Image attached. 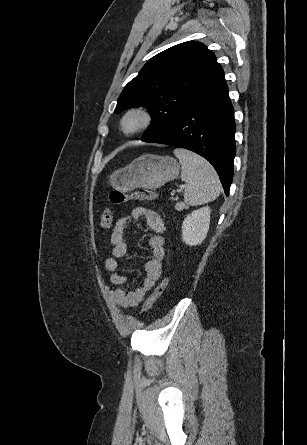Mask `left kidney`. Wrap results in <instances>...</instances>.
<instances>
[{
  "label": "left kidney",
  "instance_id": "1",
  "mask_svg": "<svg viewBox=\"0 0 307 445\" xmlns=\"http://www.w3.org/2000/svg\"><path fill=\"white\" fill-rule=\"evenodd\" d=\"M210 223V208L202 206L193 210L183 220L182 239L186 245H201L207 237Z\"/></svg>",
  "mask_w": 307,
  "mask_h": 445
}]
</instances>
